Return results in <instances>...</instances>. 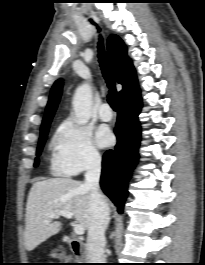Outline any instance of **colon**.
<instances>
[{
    "instance_id": "obj_1",
    "label": "colon",
    "mask_w": 205,
    "mask_h": 265,
    "mask_svg": "<svg viewBox=\"0 0 205 265\" xmlns=\"http://www.w3.org/2000/svg\"><path fill=\"white\" fill-rule=\"evenodd\" d=\"M52 255L53 257L58 258V259L66 258L65 252L61 249L55 250Z\"/></svg>"
}]
</instances>
